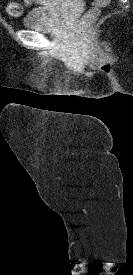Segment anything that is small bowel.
<instances>
[{
  "instance_id": "c3829d8e",
  "label": "small bowel",
  "mask_w": 133,
  "mask_h": 275,
  "mask_svg": "<svg viewBox=\"0 0 133 275\" xmlns=\"http://www.w3.org/2000/svg\"><path fill=\"white\" fill-rule=\"evenodd\" d=\"M32 0H24V3L26 4V5H28V4H30V2H31ZM22 7V6H21Z\"/></svg>"
}]
</instances>
